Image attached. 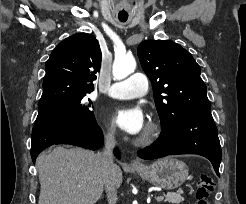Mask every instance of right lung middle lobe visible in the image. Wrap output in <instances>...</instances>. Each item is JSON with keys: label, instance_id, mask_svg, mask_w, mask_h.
Wrapping results in <instances>:
<instances>
[{"label": "right lung middle lobe", "instance_id": "1", "mask_svg": "<svg viewBox=\"0 0 246 204\" xmlns=\"http://www.w3.org/2000/svg\"><path fill=\"white\" fill-rule=\"evenodd\" d=\"M87 93H68L58 97L40 101L38 116L53 115L66 120H79L83 122L94 119V113L89 109L91 104L84 103Z\"/></svg>", "mask_w": 246, "mask_h": 204}]
</instances>
